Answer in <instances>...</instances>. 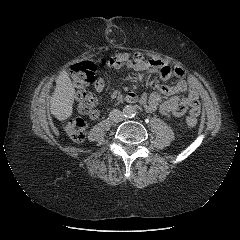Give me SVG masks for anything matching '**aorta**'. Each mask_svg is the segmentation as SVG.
<instances>
[{
    "label": "aorta",
    "mask_w": 240,
    "mask_h": 240,
    "mask_svg": "<svg viewBox=\"0 0 240 240\" xmlns=\"http://www.w3.org/2000/svg\"><path fill=\"white\" fill-rule=\"evenodd\" d=\"M125 117L132 118L136 115V108L133 105H126L123 109Z\"/></svg>",
    "instance_id": "1"
}]
</instances>
